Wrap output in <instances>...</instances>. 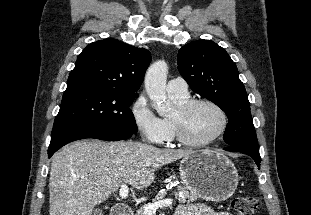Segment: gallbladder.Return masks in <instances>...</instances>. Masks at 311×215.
<instances>
[{
  "label": "gallbladder",
  "instance_id": "obj_1",
  "mask_svg": "<svg viewBox=\"0 0 311 215\" xmlns=\"http://www.w3.org/2000/svg\"><path fill=\"white\" fill-rule=\"evenodd\" d=\"M93 215H102V209H101V208H96V209L93 211Z\"/></svg>",
  "mask_w": 311,
  "mask_h": 215
}]
</instances>
